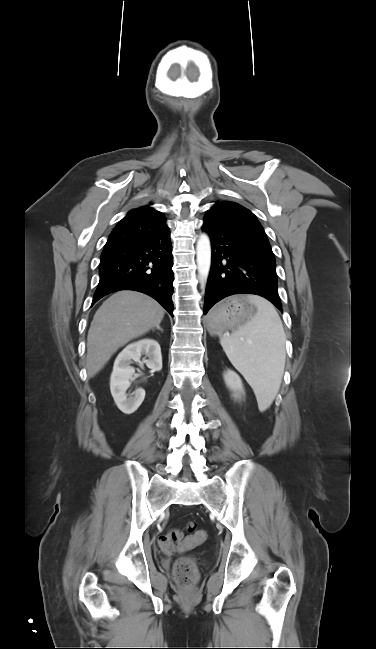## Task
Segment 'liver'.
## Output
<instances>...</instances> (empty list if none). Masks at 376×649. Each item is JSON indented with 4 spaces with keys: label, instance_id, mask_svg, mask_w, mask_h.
<instances>
[{
    "label": "liver",
    "instance_id": "6515ba94",
    "mask_svg": "<svg viewBox=\"0 0 376 649\" xmlns=\"http://www.w3.org/2000/svg\"><path fill=\"white\" fill-rule=\"evenodd\" d=\"M163 317V307L144 293L123 290L111 295L96 311L88 331V376H95L120 347L157 327Z\"/></svg>",
    "mask_w": 376,
    "mask_h": 649
}]
</instances>
